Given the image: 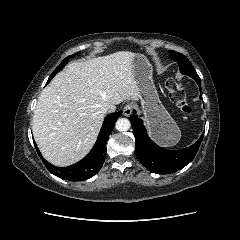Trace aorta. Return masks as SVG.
<instances>
[{
  "label": "aorta",
  "mask_w": 240,
  "mask_h": 240,
  "mask_svg": "<svg viewBox=\"0 0 240 240\" xmlns=\"http://www.w3.org/2000/svg\"><path fill=\"white\" fill-rule=\"evenodd\" d=\"M130 126V121L127 118H119L115 124L116 129L120 132L129 130Z\"/></svg>",
  "instance_id": "1"
}]
</instances>
